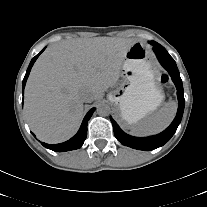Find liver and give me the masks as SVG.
<instances>
[{
	"instance_id": "obj_1",
	"label": "liver",
	"mask_w": 207,
	"mask_h": 207,
	"mask_svg": "<svg viewBox=\"0 0 207 207\" xmlns=\"http://www.w3.org/2000/svg\"><path fill=\"white\" fill-rule=\"evenodd\" d=\"M136 41L94 37L49 46L34 64L25 88L24 112L41 141L68 140L83 118L81 94L102 97L120 77L127 51Z\"/></svg>"
}]
</instances>
